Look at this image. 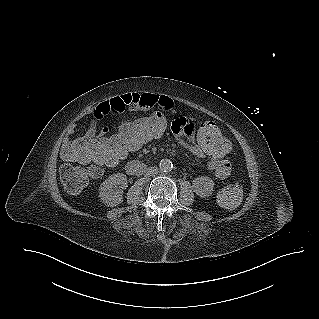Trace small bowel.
Returning <instances> with one entry per match:
<instances>
[{
  "instance_id": "1",
  "label": "small bowel",
  "mask_w": 319,
  "mask_h": 319,
  "mask_svg": "<svg viewBox=\"0 0 319 319\" xmlns=\"http://www.w3.org/2000/svg\"><path fill=\"white\" fill-rule=\"evenodd\" d=\"M155 107L171 110L174 107V101L170 97L151 93L127 94L112 99H102L87 119L85 132L92 139L106 137L105 134L111 130L112 121L120 118L127 108L144 110ZM169 129L179 140V143L194 157L201 159L209 155L205 149L200 148L195 143L192 136L195 134V122L190 121L189 115H174L173 121L169 122ZM70 135L71 133L67 137ZM189 164L198 165L199 163L192 161ZM207 167L218 180H224L231 172V165L226 157L221 159L212 157L207 163Z\"/></svg>"
}]
</instances>
